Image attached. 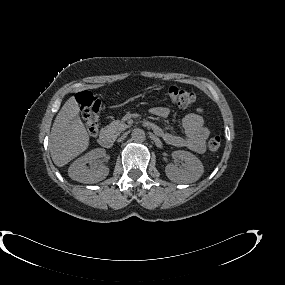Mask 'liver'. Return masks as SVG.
Segmentation results:
<instances>
[{"mask_svg":"<svg viewBox=\"0 0 285 285\" xmlns=\"http://www.w3.org/2000/svg\"><path fill=\"white\" fill-rule=\"evenodd\" d=\"M89 135L80 119L79 106L70 97L55 118L50 135V153L54 164L62 167L84 152Z\"/></svg>","mask_w":285,"mask_h":285,"instance_id":"1","label":"liver"}]
</instances>
